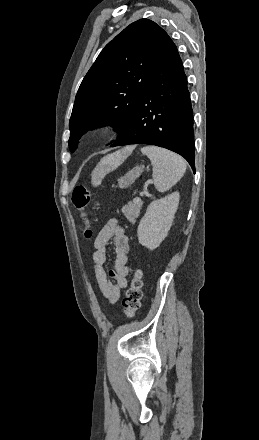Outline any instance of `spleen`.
Returning <instances> with one entry per match:
<instances>
[{
    "label": "spleen",
    "instance_id": "obj_1",
    "mask_svg": "<svg viewBox=\"0 0 259 440\" xmlns=\"http://www.w3.org/2000/svg\"><path fill=\"white\" fill-rule=\"evenodd\" d=\"M153 166V181L159 192L171 189L186 171L185 161L177 154L156 146H146L141 149Z\"/></svg>",
    "mask_w": 259,
    "mask_h": 440
}]
</instances>
